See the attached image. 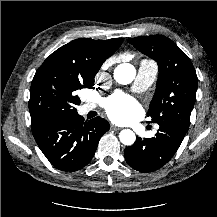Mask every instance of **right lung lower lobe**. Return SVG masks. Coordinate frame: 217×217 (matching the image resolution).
I'll return each instance as SVG.
<instances>
[{
    "instance_id": "98d812e1",
    "label": "right lung lower lobe",
    "mask_w": 217,
    "mask_h": 217,
    "mask_svg": "<svg viewBox=\"0 0 217 217\" xmlns=\"http://www.w3.org/2000/svg\"><path fill=\"white\" fill-rule=\"evenodd\" d=\"M31 128L49 162L61 171L74 172L91 161L100 138L110 125L101 117L85 122L76 113L32 122Z\"/></svg>"
}]
</instances>
